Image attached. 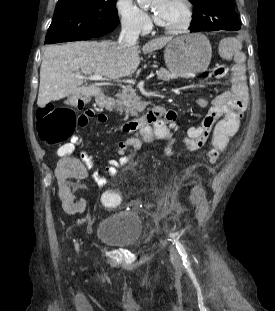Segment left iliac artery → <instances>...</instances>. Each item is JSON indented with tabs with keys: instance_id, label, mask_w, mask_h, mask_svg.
I'll return each mask as SVG.
<instances>
[{
	"instance_id": "1",
	"label": "left iliac artery",
	"mask_w": 275,
	"mask_h": 311,
	"mask_svg": "<svg viewBox=\"0 0 275 311\" xmlns=\"http://www.w3.org/2000/svg\"><path fill=\"white\" fill-rule=\"evenodd\" d=\"M174 243L176 245V248H177L179 254L181 255V257L183 259V264H184V262H186L188 260L187 252H186L184 246L180 243V241L177 238H174Z\"/></svg>"
}]
</instances>
